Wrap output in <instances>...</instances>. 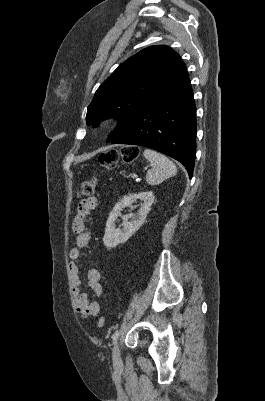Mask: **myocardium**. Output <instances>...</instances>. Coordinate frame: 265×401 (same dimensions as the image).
I'll return each mask as SVG.
<instances>
[{"label":"myocardium","mask_w":265,"mask_h":401,"mask_svg":"<svg viewBox=\"0 0 265 401\" xmlns=\"http://www.w3.org/2000/svg\"><path fill=\"white\" fill-rule=\"evenodd\" d=\"M111 123L109 120L104 119L100 122V127L104 130L108 129L110 127Z\"/></svg>","instance_id":"1"}]
</instances>
